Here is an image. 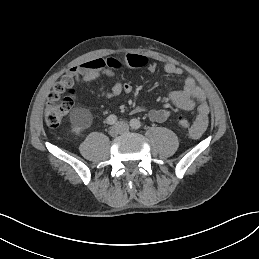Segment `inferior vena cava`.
<instances>
[{"label": "inferior vena cava", "mask_w": 259, "mask_h": 259, "mask_svg": "<svg viewBox=\"0 0 259 259\" xmlns=\"http://www.w3.org/2000/svg\"><path fill=\"white\" fill-rule=\"evenodd\" d=\"M124 126L126 127V129L128 130V125L127 124H124Z\"/></svg>", "instance_id": "1"}]
</instances>
